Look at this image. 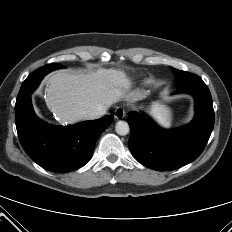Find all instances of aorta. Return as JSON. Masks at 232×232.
Here are the masks:
<instances>
[{
	"instance_id": "aorta-1",
	"label": "aorta",
	"mask_w": 232,
	"mask_h": 232,
	"mask_svg": "<svg viewBox=\"0 0 232 232\" xmlns=\"http://www.w3.org/2000/svg\"><path fill=\"white\" fill-rule=\"evenodd\" d=\"M115 130L118 135H127L129 133V125L125 121H118L116 123Z\"/></svg>"
}]
</instances>
